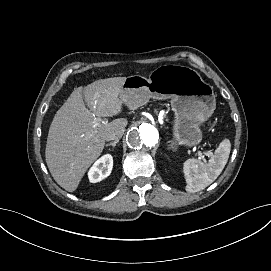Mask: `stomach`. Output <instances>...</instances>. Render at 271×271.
Segmentation results:
<instances>
[{
  "mask_svg": "<svg viewBox=\"0 0 271 271\" xmlns=\"http://www.w3.org/2000/svg\"><path fill=\"white\" fill-rule=\"evenodd\" d=\"M171 98L174 111L170 150L193 148L203 140L201 126L214 114L216 95L213 87L204 82L193 69L166 65L155 69L149 78L133 75L126 79L121 98L131 108L145 104L149 98Z\"/></svg>",
  "mask_w": 271,
  "mask_h": 271,
  "instance_id": "obj_1",
  "label": "stomach"
}]
</instances>
